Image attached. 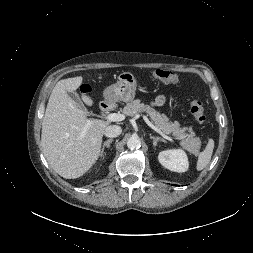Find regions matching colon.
Here are the masks:
<instances>
[{"label":"colon","instance_id":"obj_1","mask_svg":"<svg viewBox=\"0 0 253 253\" xmlns=\"http://www.w3.org/2000/svg\"><path fill=\"white\" fill-rule=\"evenodd\" d=\"M152 77L163 83H175L178 81L177 74L167 69H156L152 72ZM88 91V89H85L83 92ZM191 113L198 123L202 124L205 122L204 106L198 98H194L191 102Z\"/></svg>","mask_w":253,"mask_h":253}]
</instances>
